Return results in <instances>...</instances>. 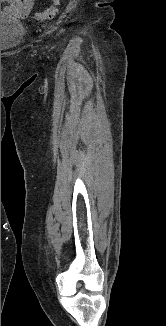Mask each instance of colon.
<instances>
[{"label":"colon","instance_id":"obj_1","mask_svg":"<svg viewBox=\"0 0 166 326\" xmlns=\"http://www.w3.org/2000/svg\"><path fill=\"white\" fill-rule=\"evenodd\" d=\"M60 4V0H53L50 7L47 9L40 11L34 15V18L39 21L52 20L56 17L58 13V7Z\"/></svg>","mask_w":166,"mask_h":326}]
</instances>
